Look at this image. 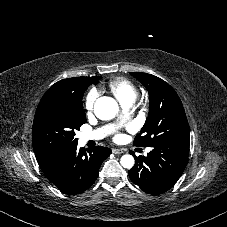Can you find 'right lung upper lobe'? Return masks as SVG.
<instances>
[{
  "label": "right lung upper lobe",
  "mask_w": 227,
  "mask_h": 227,
  "mask_svg": "<svg viewBox=\"0 0 227 227\" xmlns=\"http://www.w3.org/2000/svg\"><path fill=\"white\" fill-rule=\"evenodd\" d=\"M89 78L90 77H74L60 80L53 84L43 97L77 99L81 96Z\"/></svg>",
  "instance_id": "cb5924a9"
}]
</instances>
